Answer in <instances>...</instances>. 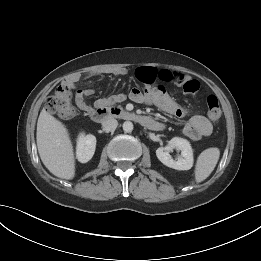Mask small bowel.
I'll return each instance as SVG.
<instances>
[{
    "mask_svg": "<svg viewBox=\"0 0 261 261\" xmlns=\"http://www.w3.org/2000/svg\"><path fill=\"white\" fill-rule=\"evenodd\" d=\"M107 74L114 76H121L126 73L123 68H115L105 71ZM137 77L145 82L152 83L156 78H160L165 82H172L183 88L184 92L188 95H195L199 89V82L189 75L177 71H162L158 72L151 67L139 68L136 72ZM80 78L75 77L72 79L71 84L79 82ZM93 94V91L88 88H78L76 90V103L80 110L84 112H91V106L86 102V98ZM130 98L136 102L153 103L161 110L170 113L176 117H184L187 115V110L174 102L165 90L161 87L150 88L147 87L144 91L133 88L130 92ZM125 99L123 94H115L108 98L98 100V104L107 102H121ZM212 132V124L209 119L202 115H194L186 122L183 127L182 133L191 140H200L208 137Z\"/></svg>",
    "mask_w": 261,
    "mask_h": 261,
    "instance_id": "1",
    "label": "small bowel"
}]
</instances>
